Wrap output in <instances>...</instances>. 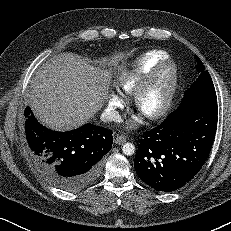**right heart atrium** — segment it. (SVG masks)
<instances>
[{"instance_id": "1", "label": "right heart atrium", "mask_w": 231, "mask_h": 231, "mask_svg": "<svg viewBox=\"0 0 231 231\" xmlns=\"http://www.w3.org/2000/svg\"><path fill=\"white\" fill-rule=\"evenodd\" d=\"M123 99L118 92H110L108 95L109 115L115 119L119 117L117 109L123 106Z\"/></svg>"}]
</instances>
